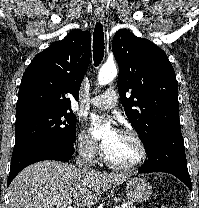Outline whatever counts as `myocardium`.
<instances>
[{"label":"myocardium","instance_id":"f54148a6","mask_svg":"<svg viewBox=\"0 0 199 208\" xmlns=\"http://www.w3.org/2000/svg\"><path fill=\"white\" fill-rule=\"evenodd\" d=\"M119 133L125 134L127 136H130L138 145L139 147V158L130 164H122V163H117L113 160H111L105 153V151H103V160L106 163V165H108L109 167L116 169V170H121V171H131L134 170L138 167H140L147 159V155H148V151H147V147L146 144L144 142V140L142 139V137L139 135L138 132H136L133 129L130 128H124L121 129L119 131Z\"/></svg>","mask_w":199,"mask_h":208}]
</instances>
